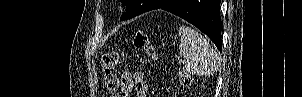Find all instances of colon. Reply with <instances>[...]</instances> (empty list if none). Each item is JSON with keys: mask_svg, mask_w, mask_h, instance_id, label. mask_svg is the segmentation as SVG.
<instances>
[{"mask_svg": "<svg viewBox=\"0 0 302 97\" xmlns=\"http://www.w3.org/2000/svg\"><path fill=\"white\" fill-rule=\"evenodd\" d=\"M135 47L156 59L155 49L143 30H137L134 36ZM120 62V54L118 52H106L101 59L102 75L105 85V90L108 94H113L118 87V76L116 67ZM179 81L182 85H189L191 82L190 76L185 73L179 74Z\"/></svg>", "mask_w": 302, "mask_h": 97, "instance_id": "5ec220e1", "label": "colon"}]
</instances>
